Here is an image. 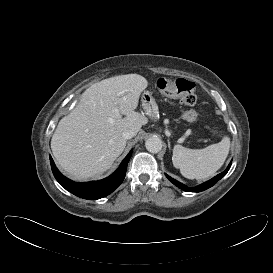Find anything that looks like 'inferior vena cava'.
Listing matches in <instances>:
<instances>
[{
	"label": "inferior vena cava",
	"instance_id": "inferior-vena-cava-1",
	"mask_svg": "<svg viewBox=\"0 0 273 273\" xmlns=\"http://www.w3.org/2000/svg\"><path fill=\"white\" fill-rule=\"evenodd\" d=\"M135 136V132L133 130H125L123 133H122V137L124 139H131Z\"/></svg>",
	"mask_w": 273,
	"mask_h": 273
}]
</instances>
